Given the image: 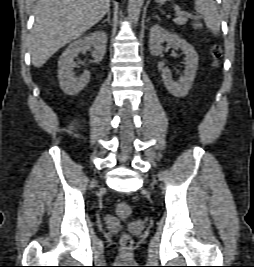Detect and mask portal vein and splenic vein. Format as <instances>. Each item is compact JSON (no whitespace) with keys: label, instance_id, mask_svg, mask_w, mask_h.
<instances>
[{"label":"portal vein and splenic vein","instance_id":"portal-vein-and-splenic-vein-1","mask_svg":"<svg viewBox=\"0 0 254 267\" xmlns=\"http://www.w3.org/2000/svg\"><path fill=\"white\" fill-rule=\"evenodd\" d=\"M175 10H176V16L189 15L187 12L181 11L178 7H176Z\"/></svg>","mask_w":254,"mask_h":267}]
</instances>
